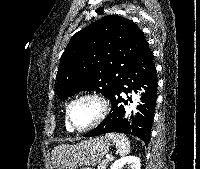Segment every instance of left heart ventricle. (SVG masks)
I'll return each instance as SVG.
<instances>
[{"mask_svg": "<svg viewBox=\"0 0 200 169\" xmlns=\"http://www.w3.org/2000/svg\"><path fill=\"white\" fill-rule=\"evenodd\" d=\"M98 111L99 108L95 101L90 99L78 101L70 111L73 125L78 128L90 125L96 119Z\"/></svg>", "mask_w": 200, "mask_h": 169, "instance_id": "1", "label": "left heart ventricle"}]
</instances>
